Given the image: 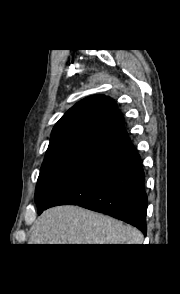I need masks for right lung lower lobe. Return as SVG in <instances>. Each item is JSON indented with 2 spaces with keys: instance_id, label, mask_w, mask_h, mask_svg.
<instances>
[{
  "instance_id": "98d812e1",
  "label": "right lung lower lobe",
  "mask_w": 180,
  "mask_h": 294,
  "mask_svg": "<svg viewBox=\"0 0 180 294\" xmlns=\"http://www.w3.org/2000/svg\"><path fill=\"white\" fill-rule=\"evenodd\" d=\"M64 204L108 214L146 234L144 172L124 127L104 139L38 213Z\"/></svg>"
}]
</instances>
